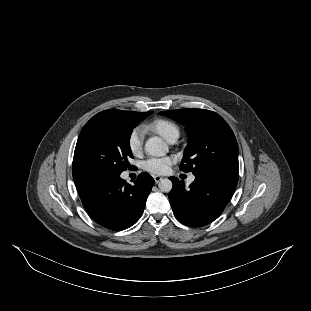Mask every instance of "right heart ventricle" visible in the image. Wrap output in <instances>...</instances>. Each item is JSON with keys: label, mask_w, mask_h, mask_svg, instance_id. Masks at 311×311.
<instances>
[{"label": "right heart ventricle", "mask_w": 311, "mask_h": 311, "mask_svg": "<svg viewBox=\"0 0 311 311\" xmlns=\"http://www.w3.org/2000/svg\"><path fill=\"white\" fill-rule=\"evenodd\" d=\"M150 128L168 142H175L181 134L179 124L167 118H161L153 121L150 124Z\"/></svg>", "instance_id": "e07e8e85"}]
</instances>
